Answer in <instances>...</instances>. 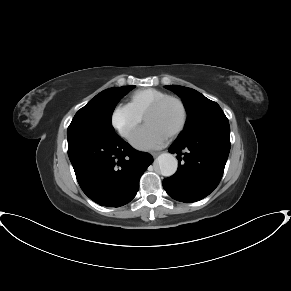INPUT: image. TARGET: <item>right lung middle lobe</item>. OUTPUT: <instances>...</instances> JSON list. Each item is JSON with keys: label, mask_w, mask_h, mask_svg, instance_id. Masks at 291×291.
<instances>
[{"label": "right lung middle lobe", "mask_w": 291, "mask_h": 291, "mask_svg": "<svg viewBox=\"0 0 291 291\" xmlns=\"http://www.w3.org/2000/svg\"><path fill=\"white\" fill-rule=\"evenodd\" d=\"M135 86L114 87L97 94L75 114L67 135H93L102 138L118 136L111 124L119 100Z\"/></svg>", "instance_id": "right-lung-middle-lobe-1"}]
</instances>
